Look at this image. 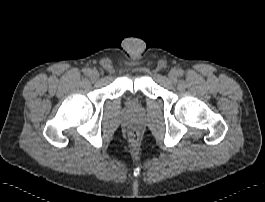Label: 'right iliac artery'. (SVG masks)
Here are the masks:
<instances>
[{"mask_svg":"<svg viewBox=\"0 0 265 202\" xmlns=\"http://www.w3.org/2000/svg\"><path fill=\"white\" fill-rule=\"evenodd\" d=\"M90 71H91V70H90L89 68H84V69H83V73H84V75H86V76L90 74Z\"/></svg>","mask_w":265,"mask_h":202,"instance_id":"1","label":"right iliac artery"}]
</instances>
